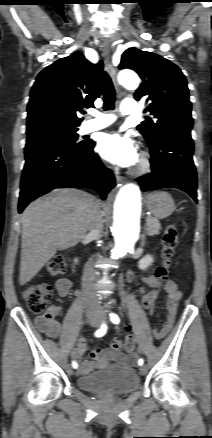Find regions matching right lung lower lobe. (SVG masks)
Here are the masks:
<instances>
[{"mask_svg":"<svg viewBox=\"0 0 212 438\" xmlns=\"http://www.w3.org/2000/svg\"><path fill=\"white\" fill-rule=\"evenodd\" d=\"M95 143H69L56 137L27 140L18 210L54 188L89 187L105 199L115 177L93 152Z\"/></svg>","mask_w":212,"mask_h":438,"instance_id":"1","label":"right lung lower lobe"}]
</instances>
